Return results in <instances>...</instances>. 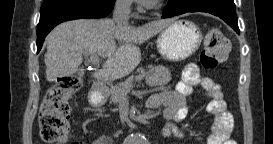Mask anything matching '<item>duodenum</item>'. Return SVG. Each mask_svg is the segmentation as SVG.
I'll list each match as a JSON object with an SVG mask.
<instances>
[{
    "label": "duodenum",
    "mask_w": 273,
    "mask_h": 144,
    "mask_svg": "<svg viewBox=\"0 0 273 144\" xmlns=\"http://www.w3.org/2000/svg\"><path fill=\"white\" fill-rule=\"evenodd\" d=\"M105 92V87L103 84L101 83H96L93 87V93L94 94H98V95H102ZM153 102L157 105V106H164L166 104V100L163 97L162 94H157L154 95L152 97Z\"/></svg>",
    "instance_id": "1"
}]
</instances>
